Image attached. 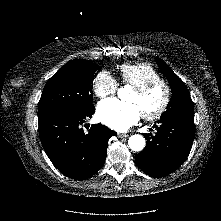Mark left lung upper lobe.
<instances>
[{
  "mask_svg": "<svg viewBox=\"0 0 221 221\" xmlns=\"http://www.w3.org/2000/svg\"><path fill=\"white\" fill-rule=\"evenodd\" d=\"M159 68L167 77L171 89L172 98L167 110L160 119L175 117H194V107L185 83L171 70V68L159 57L155 58Z\"/></svg>",
  "mask_w": 221,
  "mask_h": 221,
  "instance_id": "5c2ea615",
  "label": "left lung upper lobe"
}]
</instances>
